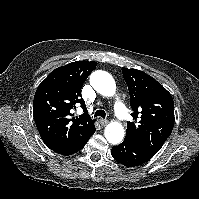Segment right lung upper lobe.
Instances as JSON below:
<instances>
[{
	"label": "right lung upper lobe",
	"instance_id": "obj_1",
	"mask_svg": "<svg viewBox=\"0 0 199 199\" xmlns=\"http://www.w3.org/2000/svg\"><path fill=\"white\" fill-rule=\"evenodd\" d=\"M97 66L95 61H76L52 71L36 90L33 102L34 119L45 144H70L86 137L94 128L88 114L72 117L71 109L79 103L81 88Z\"/></svg>",
	"mask_w": 199,
	"mask_h": 199
}]
</instances>
